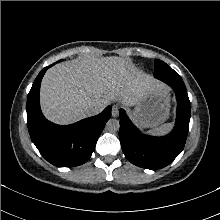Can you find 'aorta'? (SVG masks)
I'll return each instance as SVG.
<instances>
[{"label":"aorta","mask_w":220,"mask_h":220,"mask_svg":"<svg viewBox=\"0 0 220 220\" xmlns=\"http://www.w3.org/2000/svg\"><path fill=\"white\" fill-rule=\"evenodd\" d=\"M106 128L107 130H109L110 132H117L120 128V123L118 120L116 119H110L108 120V122L106 123Z\"/></svg>","instance_id":"obj_1"}]
</instances>
